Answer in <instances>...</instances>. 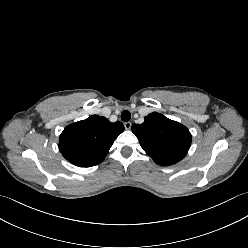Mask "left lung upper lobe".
Listing matches in <instances>:
<instances>
[{
	"instance_id": "1",
	"label": "left lung upper lobe",
	"mask_w": 248,
	"mask_h": 248,
	"mask_svg": "<svg viewBox=\"0 0 248 248\" xmlns=\"http://www.w3.org/2000/svg\"><path fill=\"white\" fill-rule=\"evenodd\" d=\"M132 131L141 147L159 165H172L182 160L191 145V134L182 124L153 112Z\"/></svg>"
}]
</instances>
